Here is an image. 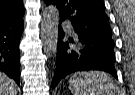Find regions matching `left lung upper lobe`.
<instances>
[{
	"label": "left lung upper lobe",
	"mask_w": 135,
	"mask_h": 95,
	"mask_svg": "<svg viewBox=\"0 0 135 95\" xmlns=\"http://www.w3.org/2000/svg\"><path fill=\"white\" fill-rule=\"evenodd\" d=\"M59 10L60 19H68L77 29L112 33L102 0H44Z\"/></svg>",
	"instance_id": "1"
}]
</instances>
